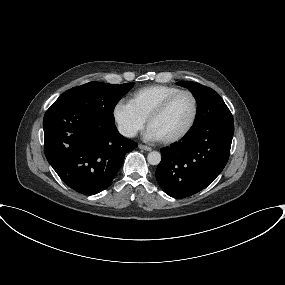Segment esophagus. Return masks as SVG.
I'll return each instance as SVG.
<instances>
[{
	"mask_svg": "<svg viewBox=\"0 0 285 285\" xmlns=\"http://www.w3.org/2000/svg\"><path fill=\"white\" fill-rule=\"evenodd\" d=\"M138 147L142 150H145V151H151L152 150L151 147H148V146L143 145V144H139Z\"/></svg>",
	"mask_w": 285,
	"mask_h": 285,
	"instance_id": "34e87169",
	"label": "esophagus"
}]
</instances>
